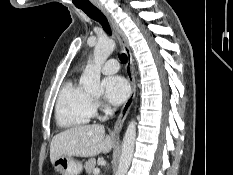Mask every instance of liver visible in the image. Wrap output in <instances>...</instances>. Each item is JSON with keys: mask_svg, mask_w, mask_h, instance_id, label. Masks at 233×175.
<instances>
[{"mask_svg": "<svg viewBox=\"0 0 233 175\" xmlns=\"http://www.w3.org/2000/svg\"><path fill=\"white\" fill-rule=\"evenodd\" d=\"M113 148V138L105 136L102 125H81L55 135L50 145V160L61 156L92 157L109 153Z\"/></svg>", "mask_w": 233, "mask_h": 175, "instance_id": "1", "label": "liver"}]
</instances>
